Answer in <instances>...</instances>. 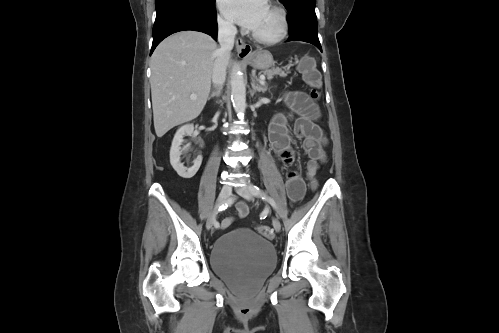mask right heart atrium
Returning a JSON list of instances; mask_svg holds the SVG:
<instances>
[{"instance_id": "obj_1", "label": "right heart atrium", "mask_w": 499, "mask_h": 333, "mask_svg": "<svg viewBox=\"0 0 499 333\" xmlns=\"http://www.w3.org/2000/svg\"><path fill=\"white\" fill-rule=\"evenodd\" d=\"M218 25L219 28L226 33H231L234 30L233 25L223 17H218Z\"/></svg>"}]
</instances>
